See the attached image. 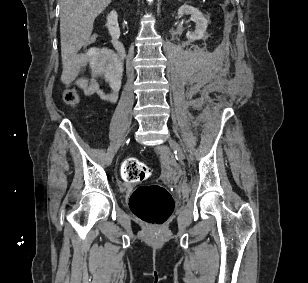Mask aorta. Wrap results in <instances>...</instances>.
Listing matches in <instances>:
<instances>
[{
	"label": "aorta",
	"instance_id": "1",
	"mask_svg": "<svg viewBox=\"0 0 308 283\" xmlns=\"http://www.w3.org/2000/svg\"><path fill=\"white\" fill-rule=\"evenodd\" d=\"M149 2H152L153 0H148Z\"/></svg>",
	"mask_w": 308,
	"mask_h": 283
}]
</instances>
